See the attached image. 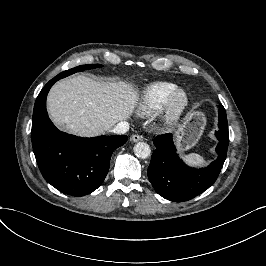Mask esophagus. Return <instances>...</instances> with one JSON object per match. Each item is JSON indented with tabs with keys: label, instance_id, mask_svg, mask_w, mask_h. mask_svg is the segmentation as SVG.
Returning a JSON list of instances; mask_svg holds the SVG:
<instances>
[{
	"label": "esophagus",
	"instance_id": "obj_1",
	"mask_svg": "<svg viewBox=\"0 0 266 266\" xmlns=\"http://www.w3.org/2000/svg\"><path fill=\"white\" fill-rule=\"evenodd\" d=\"M144 138L142 135H138V134H135V135H132L130 137V141L131 142H138V141H142Z\"/></svg>",
	"mask_w": 266,
	"mask_h": 266
}]
</instances>
